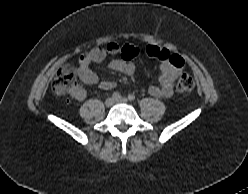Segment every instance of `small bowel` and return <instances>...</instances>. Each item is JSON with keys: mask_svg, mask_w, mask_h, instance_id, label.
<instances>
[{"mask_svg": "<svg viewBox=\"0 0 248 194\" xmlns=\"http://www.w3.org/2000/svg\"><path fill=\"white\" fill-rule=\"evenodd\" d=\"M140 49L135 44H125L119 46L116 43H109L105 47H98L82 54L78 61V75L82 82L87 85L98 86L102 90L114 88L115 82L112 80H100L90 66L92 63H101L109 55L120 54L121 57L109 62L108 68L126 75L135 73V66L132 59L138 56ZM148 56L161 61V76L158 84L150 85L148 91L155 97H171L173 95L174 82L185 68L184 60L178 55H172L168 51L155 46L146 47ZM71 96L77 101H82L86 97V91L81 86H76L71 91Z\"/></svg>", "mask_w": 248, "mask_h": 194, "instance_id": "c3829d8e", "label": "small bowel"}]
</instances>
